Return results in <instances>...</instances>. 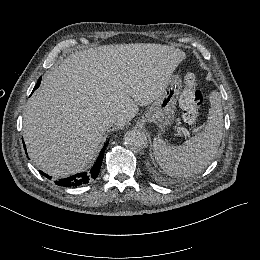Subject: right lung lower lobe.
<instances>
[{
    "label": "right lung lower lobe",
    "instance_id": "obj_1",
    "mask_svg": "<svg viewBox=\"0 0 260 260\" xmlns=\"http://www.w3.org/2000/svg\"><path fill=\"white\" fill-rule=\"evenodd\" d=\"M40 81H41V78L39 79L34 90L40 85ZM107 145H108V141L105 143L104 147L102 148V150L99 154L97 161L95 162L94 166L91 168V170L89 172H83V173H79V174H76V175H73V176H70L67 178H62V179L56 180L55 184L58 186H61V187H79L84 184H87L90 180L95 179L100 172V168H101V164H102V160H103V156H104V151H105ZM24 148H25V146H24ZM25 150H26V148H25ZM40 172L46 178L51 179V177L49 175L43 173L42 171H40Z\"/></svg>",
    "mask_w": 260,
    "mask_h": 260
}]
</instances>
